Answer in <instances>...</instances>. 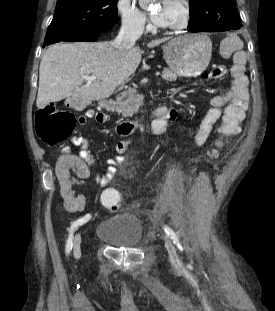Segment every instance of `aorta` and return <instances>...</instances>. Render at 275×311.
<instances>
[{
	"instance_id": "aorta-1",
	"label": "aorta",
	"mask_w": 275,
	"mask_h": 311,
	"mask_svg": "<svg viewBox=\"0 0 275 311\" xmlns=\"http://www.w3.org/2000/svg\"><path fill=\"white\" fill-rule=\"evenodd\" d=\"M152 0H139L140 7H146ZM154 1V0H153Z\"/></svg>"
}]
</instances>
